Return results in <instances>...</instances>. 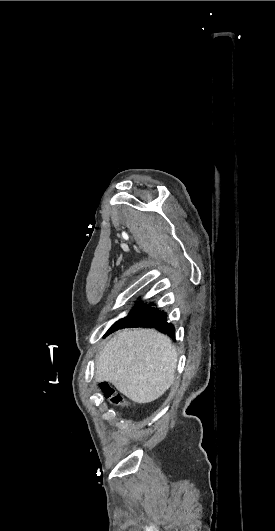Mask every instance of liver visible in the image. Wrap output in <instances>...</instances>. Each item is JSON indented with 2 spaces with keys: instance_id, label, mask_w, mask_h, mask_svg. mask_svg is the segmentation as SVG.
Instances as JSON below:
<instances>
[{
  "instance_id": "liver-1",
  "label": "liver",
  "mask_w": 275,
  "mask_h": 531,
  "mask_svg": "<svg viewBox=\"0 0 275 531\" xmlns=\"http://www.w3.org/2000/svg\"><path fill=\"white\" fill-rule=\"evenodd\" d=\"M177 353L155 329H123L96 361V381H108L133 403H152L175 381Z\"/></svg>"
}]
</instances>
